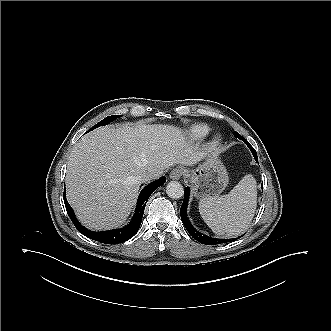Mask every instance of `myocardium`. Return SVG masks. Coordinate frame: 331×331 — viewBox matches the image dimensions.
Wrapping results in <instances>:
<instances>
[{
  "instance_id": "myocardium-1",
  "label": "myocardium",
  "mask_w": 331,
  "mask_h": 331,
  "mask_svg": "<svg viewBox=\"0 0 331 331\" xmlns=\"http://www.w3.org/2000/svg\"><path fill=\"white\" fill-rule=\"evenodd\" d=\"M220 143H221V138L218 137V136H215L208 143V148L211 149V150H215L219 147Z\"/></svg>"
}]
</instances>
